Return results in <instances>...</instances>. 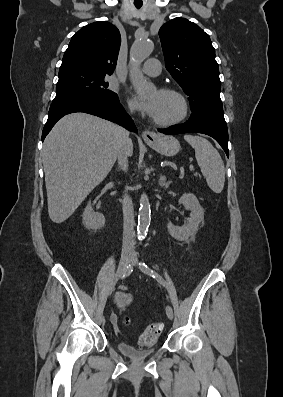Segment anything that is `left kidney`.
Here are the masks:
<instances>
[{"label": "left kidney", "instance_id": "obj_1", "mask_svg": "<svg viewBox=\"0 0 283 397\" xmlns=\"http://www.w3.org/2000/svg\"><path fill=\"white\" fill-rule=\"evenodd\" d=\"M179 204L190 210V218L186 225L177 227L171 222H168L167 228L169 234L179 241H188L193 238L197 231L200 222L204 219V210L199 204L196 196L192 193H185L179 199Z\"/></svg>", "mask_w": 283, "mask_h": 397}]
</instances>
